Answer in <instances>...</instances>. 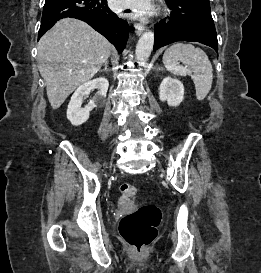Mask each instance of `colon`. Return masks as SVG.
Listing matches in <instances>:
<instances>
[{
	"label": "colon",
	"instance_id": "obj_1",
	"mask_svg": "<svg viewBox=\"0 0 261 273\" xmlns=\"http://www.w3.org/2000/svg\"><path fill=\"white\" fill-rule=\"evenodd\" d=\"M124 199H133L137 194L136 186L123 184L120 187ZM161 212L154 205H145L126 214L119 223L121 238L135 251L141 252L149 246L157 235Z\"/></svg>",
	"mask_w": 261,
	"mask_h": 273
}]
</instances>
